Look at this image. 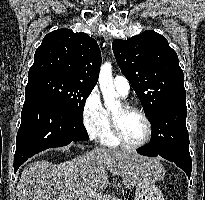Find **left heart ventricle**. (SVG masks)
<instances>
[{
	"instance_id": "1",
	"label": "left heart ventricle",
	"mask_w": 205,
	"mask_h": 200,
	"mask_svg": "<svg viewBox=\"0 0 205 200\" xmlns=\"http://www.w3.org/2000/svg\"><path fill=\"white\" fill-rule=\"evenodd\" d=\"M112 113L119 118L122 133L128 142L137 144L143 141L147 127L141 115L135 112L123 113L121 105L114 108Z\"/></svg>"
}]
</instances>
